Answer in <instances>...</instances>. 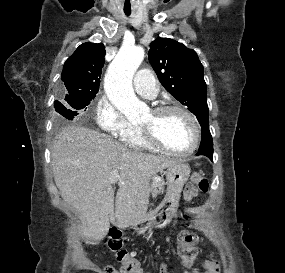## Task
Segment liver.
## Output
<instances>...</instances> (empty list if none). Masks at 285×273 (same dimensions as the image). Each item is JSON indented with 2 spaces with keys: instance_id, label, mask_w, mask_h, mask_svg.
<instances>
[{
  "instance_id": "obj_1",
  "label": "liver",
  "mask_w": 285,
  "mask_h": 273,
  "mask_svg": "<svg viewBox=\"0 0 285 273\" xmlns=\"http://www.w3.org/2000/svg\"><path fill=\"white\" fill-rule=\"evenodd\" d=\"M51 164L62 199L82 216L81 236L95 244L116 220L126 228L147 216L149 183L177 160L132 150L80 126L68 125L55 137ZM119 170L116 198L111 172Z\"/></svg>"
}]
</instances>
